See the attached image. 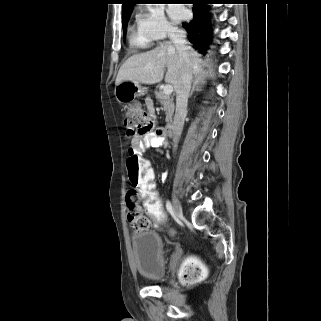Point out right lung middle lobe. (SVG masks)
<instances>
[{
  "instance_id": "right-lung-middle-lobe-1",
  "label": "right lung middle lobe",
  "mask_w": 321,
  "mask_h": 321,
  "mask_svg": "<svg viewBox=\"0 0 321 321\" xmlns=\"http://www.w3.org/2000/svg\"><path fill=\"white\" fill-rule=\"evenodd\" d=\"M131 12H127L124 15H122V27H123V35L125 36L126 34V29H127V23L130 18Z\"/></svg>"
}]
</instances>
